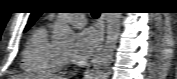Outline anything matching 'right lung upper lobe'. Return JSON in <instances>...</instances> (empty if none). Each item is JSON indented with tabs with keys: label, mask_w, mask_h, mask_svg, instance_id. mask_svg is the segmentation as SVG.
I'll use <instances>...</instances> for the list:
<instances>
[{
	"label": "right lung upper lobe",
	"mask_w": 177,
	"mask_h": 79,
	"mask_svg": "<svg viewBox=\"0 0 177 79\" xmlns=\"http://www.w3.org/2000/svg\"><path fill=\"white\" fill-rule=\"evenodd\" d=\"M41 13L42 12H33V13H31L27 26H32L34 24V22L39 18Z\"/></svg>",
	"instance_id": "cb5924a9"
}]
</instances>
